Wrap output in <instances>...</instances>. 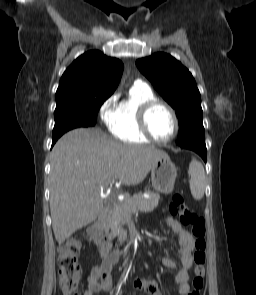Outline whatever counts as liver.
Returning a JSON list of instances; mask_svg holds the SVG:
<instances>
[{"mask_svg":"<svg viewBox=\"0 0 256 295\" xmlns=\"http://www.w3.org/2000/svg\"><path fill=\"white\" fill-rule=\"evenodd\" d=\"M167 155L153 146L122 144L99 129L79 128L62 136L51 152L50 212L59 245L92 223L103 204L101 189L114 180L140 184Z\"/></svg>","mask_w":256,"mask_h":295,"instance_id":"6515ba94","label":"liver"}]
</instances>
